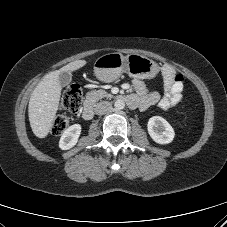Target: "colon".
<instances>
[{
	"instance_id": "5ec220e1",
	"label": "colon",
	"mask_w": 227,
	"mask_h": 227,
	"mask_svg": "<svg viewBox=\"0 0 227 227\" xmlns=\"http://www.w3.org/2000/svg\"><path fill=\"white\" fill-rule=\"evenodd\" d=\"M82 90L78 84L71 85L63 94L61 99V109L64 112L59 114L53 121L52 133L61 134L69 124V115L78 113L82 104Z\"/></svg>"
}]
</instances>
